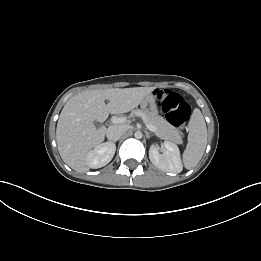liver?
<instances>
[{
    "label": "liver",
    "instance_id": "1",
    "mask_svg": "<svg viewBox=\"0 0 261 261\" xmlns=\"http://www.w3.org/2000/svg\"><path fill=\"white\" fill-rule=\"evenodd\" d=\"M154 87L87 90L73 96L63 107L56 129L62 160L77 172H87L86 158L91 149L104 141L106 128H96L109 114L126 113L136 108ZM108 100V104L105 103Z\"/></svg>",
    "mask_w": 261,
    "mask_h": 261
}]
</instances>
